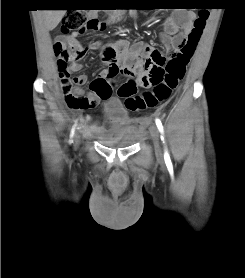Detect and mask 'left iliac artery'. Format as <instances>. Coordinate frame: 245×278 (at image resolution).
Wrapping results in <instances>:
<instances>
[{"label":"left iliac artery","mask_w":245,"mask_h":278,"mask_svg":"<svg viewBox=\"0 0 245 278\" xmlns=\"http://www.w3.org/2000/svg\"><path fill=\"white\" fill-rule=\"evenodd\" d=\"M155 122H156V125H157L159 131L163 134V125H162L161 121L159 119H156ZM161 138L164 139L163 136H161ZM164 159H165L166 163L171 162L169 154L167 152H165Z\"/></svg>","instance_id":"44dca946"}]
</instances>
